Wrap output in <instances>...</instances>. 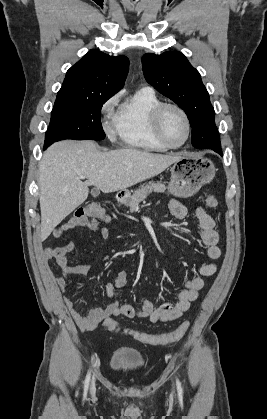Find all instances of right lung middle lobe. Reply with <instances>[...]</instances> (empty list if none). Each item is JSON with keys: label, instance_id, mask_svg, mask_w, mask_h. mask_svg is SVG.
Segmentation results:
<instances>
[{"label": "right lung middle lobe", "instance_id": "dd1d6c3e", "mask_svg": "<svg viewBox=\"0 0 267 419\" xmlns=\"http://www.w3.org/2000/svg\"><path fill=\"white\" fill-rule=\"evenodd\" d=\"M112 96H57L45 143L51 145L62 139L103 140L100 121L102 105Z\"/></svg>", "mask_w": 267, "mask_h": 419}]
</instances>
